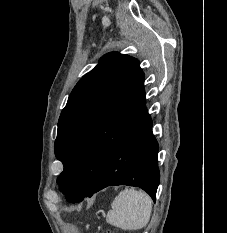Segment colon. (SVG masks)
<instances>
[{"mask_svg":"<svg viewBox=\"0 0 227 233\" xmlns=\"http://www.w3.org/2000/svg\"><path fill=\"white\" fill-rule=\"evenodd\" d=\"M102 233H115V232H114V231L109 230V231H104V232H102Z\"/></svg>","mask_w":227,"mask_h":233,"instance_id":"1","label":"colon"}]
</instances>
